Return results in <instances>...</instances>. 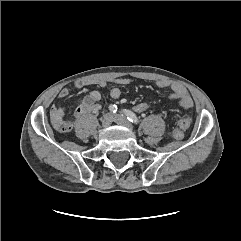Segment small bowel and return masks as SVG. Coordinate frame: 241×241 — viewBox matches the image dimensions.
<instances>
[{
  "mask_svg": "<svg viewBox=\"0 0 241 241\" xmlns=\"http://www.w3.org/2000/svg\"><path fill=\"white\" fill-rule=\"evenodd\" d=\"M130 82L131 80L129 78H124V77L111 79V80L91 79V78L79 79V80H76L72 84V86L64 87L63 89H61L59 92V97L60 98L68 97V95L73 89H81L89 85H97L101 88H107L109 84L112 83L115 86L111 88L110 96L113 99H118L121 96L120 88L129 85ZM154 84L160 88H169L171 90L170 98L177 101L181 108L185 110L192 108L193 100L189 95L188 91L180 84L176 82H170L165 79H158L154 82ZM100 101H101V94L98 91L89 92L76 107L74 111L75 117L80 118L86 114L98 112L101 108ZM57 113L64 116L63 109L54 106L51 112L53 122H54V117ZM55 127L60 131L66 132L71 130L72 122L70 120H65L63 118V121L61 123L62 128L57 126Z\"/></svg>",
  "mask_w": 241,
  "mask_h": 241,
  "instance_id": "small-bowel-1",
  "label": "small bowel"
}]
</instances>
